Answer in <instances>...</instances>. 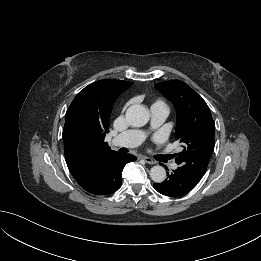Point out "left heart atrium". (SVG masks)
<instances>
[{
	"instance_id": "left-heart-atrium-1",
	"label": "left heart atrium",
	"mask_w": 261,
	"mask_h": 261,
	"mask_svg": "<svg viewBox=\"0 0 261 261\" xmlns=\"http://www.w3.org/2000/svg\"><path fill=\"white\" fill-rule=\"evenodd\" d=\"M154 139H155V140H158V139H159V136H155Z\"/></svg>"
}]
</instances>
